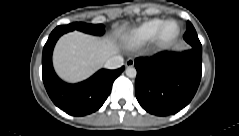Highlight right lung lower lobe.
<instances>
[{
  "instance_id": "right-lung-lower-lobe-1",
  "label": "right lung lower lobe",
  "mask_w": 239,
  "mask_h": 136,
  "mask_svg": "<svg viewBox=\"0 0 239 136\" xmlns=\"http://www.w3.org/2000/svg\"><path fill=\"white\" fill-rule=\"evenodd\" d=\"M64 34L55 28L50 34L42 55V78L54 104L69 115L84 116L97 111L110 94L114 80L124 67L117 70L101 69L89 79L67 84L61 81L52 67V51L58 38Z\"/></svg>"
}]
</instances>
